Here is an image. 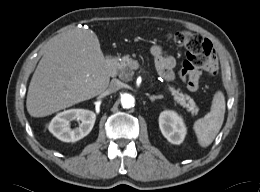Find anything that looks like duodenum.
<instances>
[{"instance_id": "duodenum-1", "label": "duodenum", "mask_w": 260, "mask_h": 192, "mask_svg": "<svg viewBox=\"0 0 260 192\" xmlns=\"http://www.w3.org/2000/svg\"><path fill=\"white\" fill-rule=\"evenodd\" d=\"M117 60L114 57L107 59V71L110 75H113L116 71Z\"/></svg>"}]
</instances>
